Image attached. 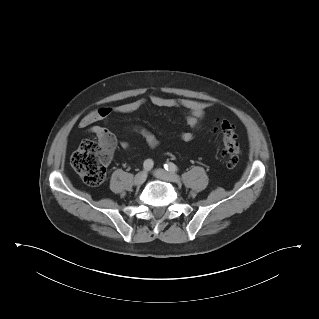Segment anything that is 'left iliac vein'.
I'll return each instance as SVG.
<instances>
[{"instance_id":"1","label":"left iliac vein","mask_w":319,"mask_h":319,"mask_svg":"<svg viewBox=\"0 0 319 319\" xmlns=\"http://www.w3.org/2000/svg\"><path fill=\"white\" fill-rule=\"evenodd\" d=\"M154 175L156 178L164 180V181L176 182V183H179L181 181L180 177L177 174L173 172L165 171L163 169L155 170Z\"/></svg>"}]
</instances>
